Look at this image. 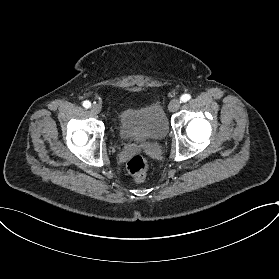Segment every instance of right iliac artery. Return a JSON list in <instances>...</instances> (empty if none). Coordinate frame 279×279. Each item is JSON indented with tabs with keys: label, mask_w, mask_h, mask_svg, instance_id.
Returning a JSON list of instances; mask_svg holds the SVG:
<instances>
[{
	"label": "right iliac artery",
	"mask_w": 279,
	"mask_h": 279,
	"mask_svg": "<svg viewBox=\"0 0 279 279\" xmlns=\"http://www.w3.org/2000/svg\"><path fill=\"white\" fill-rule=\"evenodd\" d=\"M83 106L85 107V108H89L90 106H91V103L89 102V101H84L83 102Z\"/></svg>",
	"instance_id": "1"
}]
</instances>
